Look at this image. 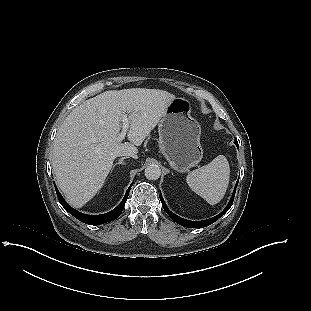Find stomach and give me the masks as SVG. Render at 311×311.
<instances>
[{
    "label": "stomach",
    "instance_id": "0dacf381",
    "mask_svg": "<svg viewBox=\"0 0 311 311\" xmlns=\"http://www.w3.org/2000/svg\"><path fill=\"white\" fill-rule=\"evenodd\" d=\"M189 100L175 98L167 107L158 126L159 150L172 169L187 172L203 157L201 129L191 116Z\"/></svg>",
    "mask_w": 311,
    "mask_h": 311
}]
</instances>
